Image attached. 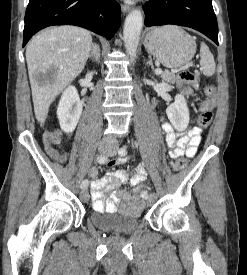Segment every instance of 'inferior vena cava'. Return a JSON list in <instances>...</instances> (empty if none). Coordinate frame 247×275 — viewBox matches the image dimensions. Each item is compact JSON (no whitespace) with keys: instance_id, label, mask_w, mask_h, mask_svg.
<instances>
[{"instance_id":"obj_1","label":"inferior vena cava","mask_w":247,"mask_h":275,"mask_svg":"<svg viewBox=\"0 0 247 275\" xmlns=\"http://www.w3.org/2000/svg\"><path fill=\"white\" fill-rule=\"evenodd\" d=\"M105 142H113V138L111 136H108L106 138H104Z\"/></svg>"}]
</instances>
